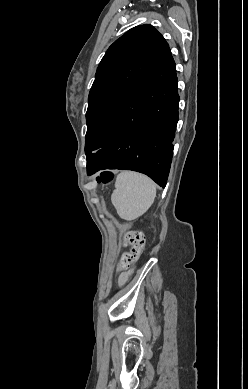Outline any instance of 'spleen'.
I'll use <instances>...</instances> for the list:
<instances>
[{
    "mask_svg": "<svg viewBox=\"0 0 248 389\" xmlns=\"http://www.w3.org/2000/svg\"><path fill=\"white\" fill-rule=\"evenodd\" d=\"M155 196L156 184L149 177L124 171L116 178L111 201L120 217L134 220L148 210Z\"/></svg>",
    "mask_w": 248,
    "mask_h": 389,
    "instance_id": "obj_1",
    "label": "spleen"
}]
</instances>
